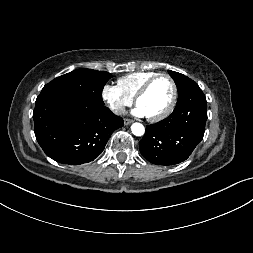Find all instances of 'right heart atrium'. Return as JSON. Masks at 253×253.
I'll list each match as a JSON object with an SVG mask.
<instances>
[{
    "instance_id": "obj_1",
    "label": "right heart atrium",
    "mask_w": 253,
    "mask_h": 253,
    "mask_svg": "<svg viewBox=\"0 0 253 253\" xmlns=\"http://www.w3.org/2000/svg\"><path fill=\"white\" fill-rule=\"evenodd\" d=\"M101 96L115 114H122L130 106L133 99L127 96L118 85L107 83L102 87Z\"/></svg>"
}]
</instances>
